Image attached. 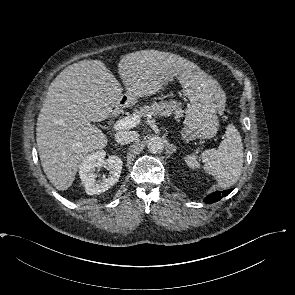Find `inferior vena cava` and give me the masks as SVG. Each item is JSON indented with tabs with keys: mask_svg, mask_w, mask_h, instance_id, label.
<instances>
[{
	"mask_svg": "<svg viewBox=\"0 0 295 295\" xmlns=\"http://www.w3.org/2000/svg\"><path fill=\"white\" fill-rule=\"evenodd\" d=\"M139 134L136 131L118 132L115 135V141L119 144H128L138 140Z\"/></svg>",
	"mask_w": 295,
	"mask_h": 295,
	"instance_id": "inferior-vena-cava-1",
	"label": "inferior vena cava"
}]
</instances>
